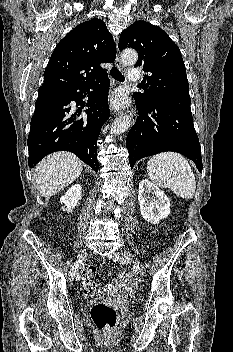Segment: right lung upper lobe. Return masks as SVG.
<instances>
[{
  "label": "right lung upper lobe",
  "instance_id": "obj_1",
  "mask_svg": "<svg viewBox=\"0 0 233 352\" xmlns=\"http://www.w3.org/2000/svg\"><path fill=\"white\" fill-rule=\"evenodd\" d=\"M116 45L105 23L97 18L71 30L56 46L40 88L71 90L105 74L101 63L113 62Z\"/></svg>",
  "mask_w": 233,
  "mask_h": 352
}]
</instances>
